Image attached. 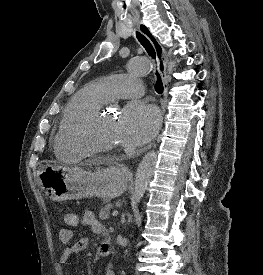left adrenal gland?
Returning <instances> with one entry per match:
<instances>
[{"label":"left adrenal gland","instance_id":"1","mask_svg":"<svg viewBox=\"0 0 263 275\" xmlns=\"http://www.w3.org/2000/svg\"><path fill=\"white\" fill-rule=\"evenodd\" d=\"M121 221H122V222H125V214L122 215Z\"/></svg>","mask_w":263,"mask_h":275}]
</instances>
